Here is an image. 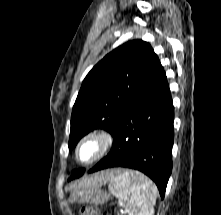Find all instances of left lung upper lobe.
<instances>
[{"label":"left lung upper lobe","instance_id":"5c2ea615","mask_svg":"<svg viewBox=\"0 0 221 215\" xmlns=\"http://www.w3.org/2000/svg\"><path fill=\"white\" fill-rule=\"evenodd\" d=\"M158 60L148 42L133 40L98 62L85 77L71 116L69 149L90 131L113 134L122 109L138 92ZM84 170H74L71 179Z\"/></svg>","mask_w":221,"mask_h":215}]
</instances>
